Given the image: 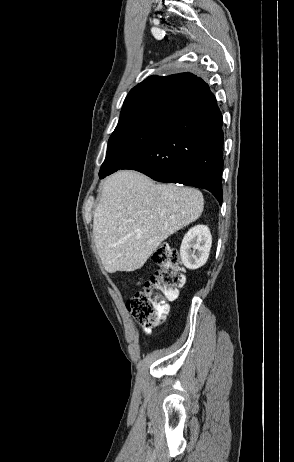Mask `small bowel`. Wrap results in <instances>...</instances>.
Wrapping results in <instances>:
<instances>
[{"label":"small bowel","mask_w":294,"mask_h":462,"mask_svg":"<svg viewBox=\"0 0 294 462\" xmlns=\"http://www.w3.org/2000/svg\"><path fill=\"white\" fill-rule=\"evenodd\" d=\"M143 332H144L146 335H151V334H152V329H151V328H143Z\"/></svg>","instance_id":"1"}]
</instances>
